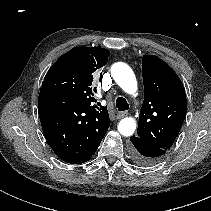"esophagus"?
<instances>
[{
	"label": "esophagus",
	"instance_id": "1",
	"mask_svg": "<svg viewBox=\"0 0 211 211\" xmlns=\"http://www.w3.org/2000/svg\"><path fill=\"white\" fill-rule=\"evenodd\" d=\"M127 112H118L117 113V119H122L124 118L125 116H127Z\"/></svg>",
	"mask_w": 211,
	"mask_h": 211
}]
</instances>
